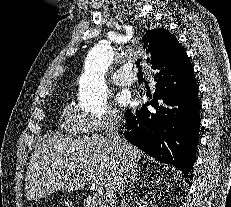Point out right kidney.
I'll return each mask as SVG.
<instances>
[{"label": "right kidney", "mask_w": 231, "mask_h": 207, "mask_svg": "<svg viewBox=\"0 0 231 207\" xmlns=\"http://www.w3.org/2000/svg\"><path fill=\"white\" fill-rule=\"evenodd\" d=\"M139 207H147V202L144 200H140V203H138Z\"/></svg>", "instance_id": "1"}]
</instances>
